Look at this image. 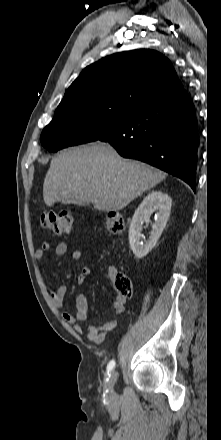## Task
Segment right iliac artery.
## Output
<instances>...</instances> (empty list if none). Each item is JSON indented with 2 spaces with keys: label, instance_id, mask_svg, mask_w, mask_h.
<instances>
[{
  "label": "right iliac artery",
  "instance_id": "right-iliac-artery-1",
  "mask_svg": "<svg viewBox=\"0 0 221 440\" xmlns=\"http://www.w3.org/2000/svg\"><path fill=\"white\" fill-rule=\"evenodd\" d=\"M114 367H115V361L111 360L107 365V372L109 377H110V372L113 370ZM108 379L109 378H106V381H108Z\"/></svg>",
  "mask_w": 221,
  "mask_h": 440
}]
</instances>
